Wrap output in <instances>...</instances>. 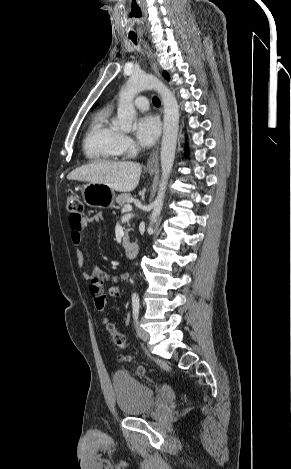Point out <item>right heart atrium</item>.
Segmentation results:
<instances>
[{
  "instance_id": "1",
  "label": "right heart atrium",
  "mask_w": 291,
  "mask_h": 469,
  "mask_svg": "<svg viewBox=\"0 0 291 469\" xmlns=\"http://www.w3.org/2000/svg\"><path fill=\"white\" fill-rule=\"evenodd\" d=\"M120 146L123 152H131L134 149L132 139L125 134L120 135Z\"/></svg>"
}]
</instances>
